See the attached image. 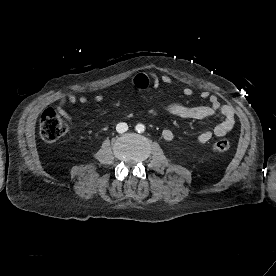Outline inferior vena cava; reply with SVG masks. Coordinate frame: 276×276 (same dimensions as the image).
Masks as SVG:
<instances>
[{"label":"inferior vena cava","mask_w":276,"mask_h":276,"mask_svg":"<svg viewBox=\"0 0 276 276\" xmlns=\"http://www.w3.org/2000/svg\"><path fill=\"white\" fill-rule=\"evenodd\" d=\"M127 130H128V125H127L126 123H124V122H120V123H118L117 126H116V131H117L118 133H124V132H126Z\"/></svg>","instance_id":"602c4592"}]
</instances>
